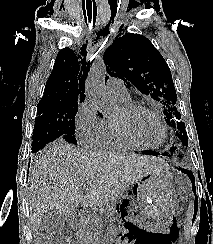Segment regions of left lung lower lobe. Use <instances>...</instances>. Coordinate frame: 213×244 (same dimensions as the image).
I'll return each mask as SVG.
<instances>
[{"label": "left lung lower lobe", "instance_id": "left-lung-lower-lobe-1", "mask_svg": "<svg viewBox=\"0 0 213 244\" xmlns=\"http://www.w3.org/2000/svg\"><path fill=\"white\" fill-rule=\"evenodd\" d=\"M143 153H144V154H148V155H157L156 153H154V152H152V151H148V150L144 151ZM162 155L167 156V154H162ZM172 155H173V154L170 153V156H172ZM180 170H181L182 172L186 173V174L189 176V178H190V180H191V182H192V187H193L194 193L196 194L195 178H194L193 174L191 173V171H189V170H184V169H182L181 167H180ZM196 200H197V196H195V201H196ZM125 206H126V203L123 202V204L121 205L122 216H125V214H124V207H125Z\"/></svg>", "mask_w": 213, "mask_h": 244}]
</instances>
